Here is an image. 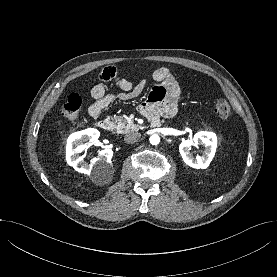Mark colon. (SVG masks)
<instances>
[{"instance_id":"obj_1","label":"colon","mask_w":277,"mask_h":277,"mask_svg":"<svg viewBox=\"0 0 277 277\" xmlns=\"http://www.w3.org/2000/svg\"><path fill=\"white\" fill-rule=\"evenodd\" d=\"M81 106V97L76 93H72L61 106V113L68 119H75L79 115ZM214 113L221 120H227L232 116V109L224 98H218L214 103Z\"/></svg>"}]
</instances>
